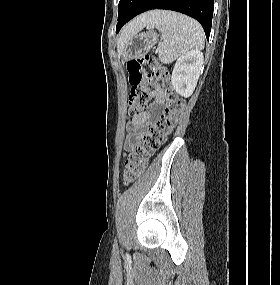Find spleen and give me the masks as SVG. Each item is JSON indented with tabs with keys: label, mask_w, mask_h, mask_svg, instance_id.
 I'll use <instances>...</instances> for the list:
<instances>
[{
	"label": "spleen",
	"mask_w": 280,
	"mask_h": 285,
	"mask_svg": "<svg viewBox=\"0 0 280 285\" xmlns=\"http://www.w3.org/2000/svg\"><path fill=\"white\" fill-rule=\"evenodd\" d=\"M156 28L161 33V41L156 53L162 63L168 64L192 49L204 46V31L194 19L171 11H155V17L147 24V29Z\"/></svg>",
	"instance_id": "spleen-1"
}]
</instances>
